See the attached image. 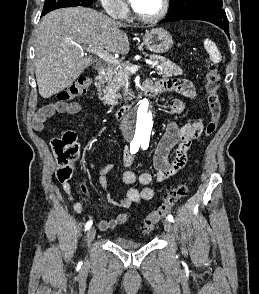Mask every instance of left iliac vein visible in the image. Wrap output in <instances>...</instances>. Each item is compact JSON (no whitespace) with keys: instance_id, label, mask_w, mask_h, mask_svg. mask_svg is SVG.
I'll return each mask as SVG.
<instances>
[{"instance_id":"left-iliac-vein-1","label":"left iliac vein","mask_w":259,"mask_h":294,"mask_svg":"<svg viewBox=\"0 0 259 294\" xmlns=\"http://www.w3.org/2000/svg\"><path fill=\"white\" fill-rule=\"evenodd\" d=\"M163 225H164V229H165V231L167 233H169V234L172 233L173 226H172V224H171V222L169 220H165L164 223H163Z\"/></svg>"}]
</instances>
